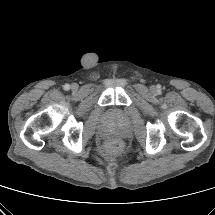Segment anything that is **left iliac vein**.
Wrapping results in <instances>:
<instances>
[{"mask_svg":"<svg viewBox=\"0 0 215 215\" xmlns=\"http://www.w3.org/2000/svg\"><path fill=\"white\" fill-rule=\"evenodd\" d=\"M151 90H152V91H154V90H155V88H154V87H151Z\"/></svg>","mask_w":215,"mask_h":215,"instance_id":"1","label":"left iliac vein"}]
</instances>
